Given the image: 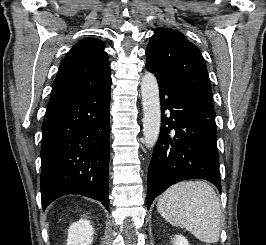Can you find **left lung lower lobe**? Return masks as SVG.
Masks as SVG:
<instances>
[{"label":"left lung lower lobe","instance_id":"1","mask_svg":"<svg viewBox=\"0 0 266 245\" xmlns=\"http://www.w3.org/2000/svg\"><path fill=\"white\" fill-rule=\"evenodd\" d=\"M159 85L162 115L147 180V208L171 185L205 179L221 193L217 130L213 107L185 92L152 68Z\"/></svg>","mask_w":266,"mask_h":245}]
</instances>
